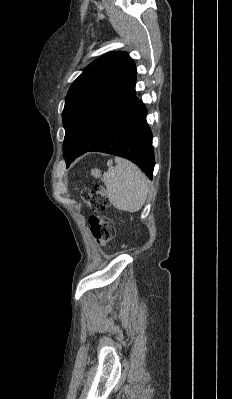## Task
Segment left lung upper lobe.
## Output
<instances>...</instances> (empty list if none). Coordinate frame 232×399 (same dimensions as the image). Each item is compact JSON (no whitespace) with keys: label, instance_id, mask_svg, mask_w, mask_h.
<instances>
[{"label":"left lung upper lobe","instance_id":"1","mask_svg":"<svg viewBox=\"0 0 232 399\" xmlns=\"http://www.w3.org/2000/svg\"><path fill=\"white\" fill-rule=\"evenodd\" d=\"M136 67L122 51L104 54L89 64L70 86L62 112L67 166L103 140L130 110Z\"/></svg>","mask_w":232,"mask_h":399}]
</instances>
